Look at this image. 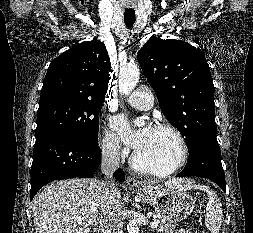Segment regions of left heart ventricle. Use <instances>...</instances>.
<instances>
[{
    "instance_id": "1",
    "label": "left heart ventricle",
    "mask_w": 253,
    "mask_h": 233,
    "mask_svg": "<svg viewBox=\"0 0 253 233\" xmlns=\"http://www.w3.org/2000/svg\"><path fill=\"white\" fill-rule=\"evenodd\" d=\"M180 154V144L172 133L152 128L145 142L136 150L141 163L159 170L172 167L178 162Z\"/></svg>"
}]
</instances>
